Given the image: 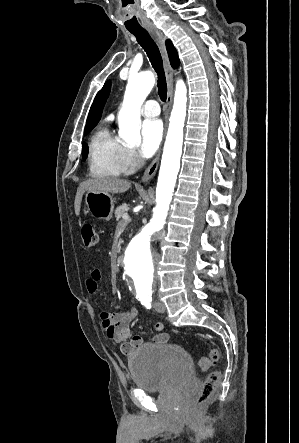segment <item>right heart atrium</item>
Returning <instances> with one entry per match:
<instances>
[{
	"label": "right heart atrium",
	"instance_id": "d8ad5b80",
	"mask_svg": "<svg viewBox=\"0 0 299 443\" xmlns=\"http://www.w3.org/2000/svg\"><path fill=\"white\" fill-rule=\"evenodd\" d=\"M141 160L137 152L130 147L123 146L121 151V165L124 172H131L137 169Z\"/></svg>",
	"mask_w": 299,
	"mask_h": 443
}]
</instances>
